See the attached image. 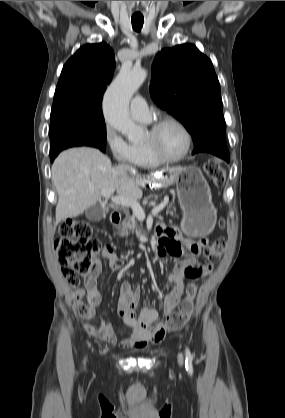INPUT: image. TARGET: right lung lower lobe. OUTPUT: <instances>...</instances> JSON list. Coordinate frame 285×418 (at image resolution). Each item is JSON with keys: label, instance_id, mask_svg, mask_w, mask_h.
<instances>
[{"label": "right lung lower lobe", "instance_id": "98d812e1", "mask_svg": "<svg viewBox=\"0 0 285 418\" xmlns=\"http://www.w3.org/2000/svg\"><path fill=\"white\" fill-rule=\"evenodd\" d=\"M55 157H56V156H55ZM55 157H51V158H50L52 162L54 161Z\"/></svg>", "mask_w": 285, "mask_h": 418}]
</instances>
